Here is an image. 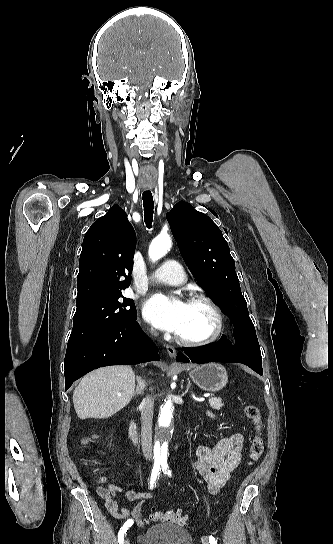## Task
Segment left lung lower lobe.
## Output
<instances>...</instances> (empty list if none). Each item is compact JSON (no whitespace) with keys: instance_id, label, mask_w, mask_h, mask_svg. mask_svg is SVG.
I'll use <instances>...</instances> for the list:
<instances>
[{"instance_id":"left-lung-lower-lobe-1","label":"left lung lower lobe","mask_w":333,"mask_h":544,"mask_svg":"<svg viewBox=\"0 0 333 544\" xmlns=\"http://www.w3.org/2000/svg\"><path fill=\"white\" fill-rule=\"evenodd\" d=\"M235 337V335H234ZM236 344L232 345L224 336L216 343L199 347V348H184V353L180 352L177 355V361L204 363L216 359L219 362L243 363L258 374L262 375V357L260 348L240 343L235 337Z\"/></svg>"}]
</instances>
